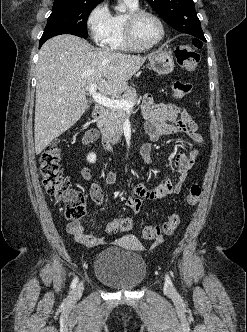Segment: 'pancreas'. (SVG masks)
Here are the masks:
<instances>
[{"mask_svg": "<svg viewBox=\"0 0 247 332\" xmlns=\"http://www.w3.org/2000/svg\"><path fill=\"white\" fill-rule=\"evenodd\" d=\"M121 99L138 103V95L133 87H129ZM125 121V111L123 109H107L103 118L99 120V128L105 137L112 143H117L123 134V124Z\"/></svg>", "mask_w": 247, "mask_h": 332, "instance_id": "obj_1", "label": "pancreas"}]
</instances>
